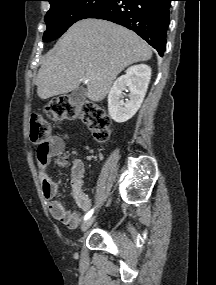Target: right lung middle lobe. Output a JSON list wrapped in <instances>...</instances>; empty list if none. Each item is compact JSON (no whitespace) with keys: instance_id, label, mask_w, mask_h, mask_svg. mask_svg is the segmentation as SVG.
<instances>
[{"instance_id":"1","label":"right lung middle lobe","mask_w":216,"mask_h":285,"mask_svg":"<svg viewBox=\"0 0 216 285\" xmlns=\"http://www.w3.org/2000/svg\"><path fill=\"white\" fill-rule=\"evenodd\" d=\"M111 0H50V10L45 16L47 30L44 42L59 38L73 23L86 18Z\"/></svg>"}]
</instances>
